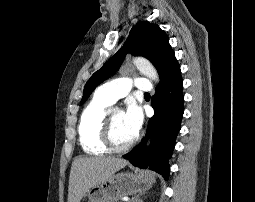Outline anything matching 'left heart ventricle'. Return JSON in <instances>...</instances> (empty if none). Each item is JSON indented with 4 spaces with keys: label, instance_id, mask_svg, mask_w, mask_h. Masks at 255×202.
Instances as JSON below:
<instances>
[{
    "label": "left heart ventricle",
    "instance_id": "1",
    "mask_svg": "<svg viewBox=\"0 0 255 202\" xmlns=\"http://www.w3.org/2000/svg\"><path fill=\"white\" fill-rule=\"evenodd\" d=\"M112 116V134L113 139L118 145H123L129 142L135 135L129 129L124 120V113L115 111Z\"/></svg>",
    "mask_w": 255,
    "mask_h": 202
}]
</instances>
